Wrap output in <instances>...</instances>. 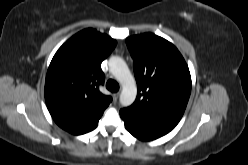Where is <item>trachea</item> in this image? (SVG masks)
<instances>
[{
    "instance_id": "3493384b",
    "label": "trachea",
    "mask_w": 248,
    "mask_h": 165,
    "mask_svg": "<svg viewBox=\"0 0 248 165\" xmlns=\"http://www.w3.org/2000/svg\"><path fill=\"white\" fill-rule=\"evenodd\" d=\"M106 88L111 92H117L119 90V84L116 81L110 79L106 83Z\"/></svg>"
}]
</instances>
